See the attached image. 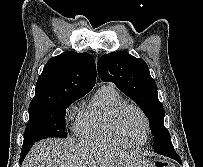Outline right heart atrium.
Listing matches in <instances>:
<instances>
[{"instance_id": "1", "label": "right heart atrium", "mask_w": 203, "mask_h": 167, "mask_svg": "<svg viewBox=\"0 0 203 167\" xmlns=\"http://www.w3.org/2000/svg\"><path fill=\"white\" fill-rule=\"evenodd\" d=\"M72 110V107L69 109V112Z\"/></svg>"}]
</instances>
